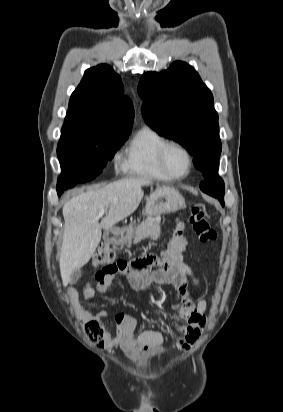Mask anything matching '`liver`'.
Wrapping results in <instances>:
<instances>
[{
    "mask_svg": "<svg viewBox=\"0 0 283 412\" xmlns=\"http://www.w3.org/2000/svg\"><path fill=\"white\" fill-rule=\"evenodd\" d=\"M146 178H125L105 187L83 192L63 206L65 227L60 255V272L64 284L75 270L93 256L101 240V230H109L138 208L149 185ZM108 212L99 223V211Z\"/></svg>",
    "mask_w": 283,
    "mask_h": 412,
    "instance_id": "1",
    "label": "liver"
}]
</instances>
